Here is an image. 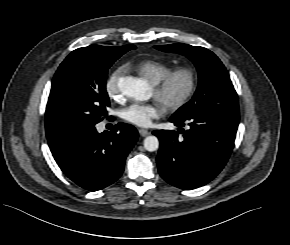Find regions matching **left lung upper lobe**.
Listing matches in <instances>:
<instances>
[{
  "instance_id": "1",
  "label": "left lung upper lobe",
  "mask_w": 290,
  "mask_h": 245,
  "mask_svg": "<svg viewBox=\"0 0 290 245\" xmlns=\"http://www.w3.org/2000/svg\"><path fill=\"white\" fill-rule=\"evenodd\" d=\"M154 47L160 51L185 55L198 71L199 83L193 98L180 107L172 118L180 119L199 110H209L223 117L239 119L236 91L228 71L213 52L183 43Z\"/></svg>"
}]
</instances>
